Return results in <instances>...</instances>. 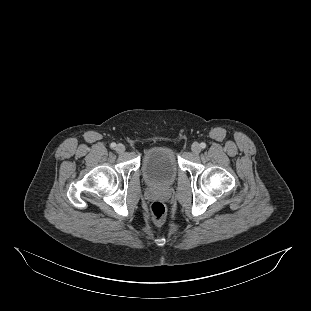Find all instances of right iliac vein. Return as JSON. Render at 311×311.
<instances>
[{
	"instance_id": "63e3f726",
	"label": "right iliac vein",
	"mask_w": 311,
	"mask_h": 311,
	"mask_svg": "<svg viewBox=\"0 0 311 311\" xmlns=\"http://www.w3.org/2000/svg\"><path fill=\"white\" fill-rule=\"evenodd\" d=\"M118 153H123L125 151V146L123 144H118L115 148Z\"/></svg>"
}]
</instances>
